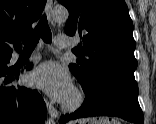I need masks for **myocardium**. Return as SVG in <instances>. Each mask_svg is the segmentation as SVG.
Here are the masks:
<instances>
[{
    "instance_id": "1",
    "label": "myocardium",
    "mask_w": 156,
    "mask_h": 124,
    "mask_svg": "<svg viewBox=\"0 0 156 124\" xmlns=\"http://www.w3.org/2000/svg\"><path fill=\"white\" fill-rule=\"evenodd\" d=\"M86 102V93L78 86L73 88L72 97L63 104V109L67 112L79 110Z\"/></svg>"
}]
</instances>
